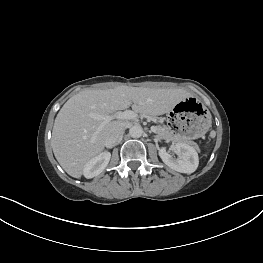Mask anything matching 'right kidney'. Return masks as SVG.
Here are the masks:
<instances>
[{
    "label": "right kidney",
    "mask_w": 263,
    "mask_h": 263,
    "mask_svg": "<svg viewBox=\"0 0 263 263\" xmlns=\"http://www.w3.org/2000/svg\"><path fill=\"white\" fill-rule=\"evenodd\" d=\"M111 158L109 152H102L89 160L83 168V175L86 178H93L101 174L107 167Z\"/></svg>",
    "instance_id": "1"
}]
</instances>
